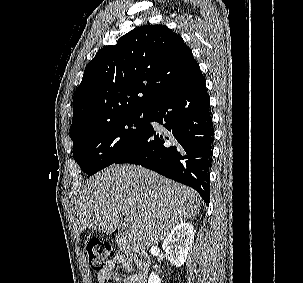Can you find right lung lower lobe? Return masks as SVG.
I'll use <instances>...</instances> for the list:
<instances>
[{"label": "right lung lower lobe", "mask_w": 303, "mask_h": 283, "mask_svg": "<svg viewBox=\"0 0 303 283\" xmlns=\"http://www.w3.org/2000/svg\"><path fill=\"white\" fill-rule=\"evenodd\" d=\"M146 130L114 163L151 169L194 188L209 203V168L214 139L209 95L201 75L186 88L154 104ZM162 125L158 130L150 123Z\"/></svg>", "instance_id": "obj_1"}]
</instances>
